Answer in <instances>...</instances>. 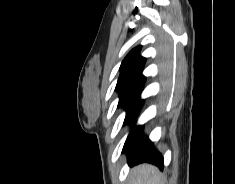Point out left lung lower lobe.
<instances>
[{"instance_id": "obj_1", "label": "left lung lower lobe", "mask_w": 235, "mask_h": 184, "mask_svg": "<svg viewBox=\"0 0 235 184\" xmlns=\"http://www.w3.org/2000/svg\"><path fill=\"white\" fill-rule=\"evenodd\" d=\"M123 152L127 153L128 164L131 166L148 162L158 166L160 170L164 168V159L149 138L143 134V126L134 128Z\"/></svg>"}]
</instances>
